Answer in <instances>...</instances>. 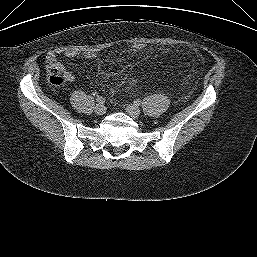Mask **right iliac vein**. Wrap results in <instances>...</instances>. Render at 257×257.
<instances>
[{"instance_id":"63e3f726","label":"right iliac vein","mask_w":257,"mask_h":257,"mask_svg":"<svg viewBox=\"0 0 257 257\" xmlns=\"http://www.w3.org/2000/svg\"><path fill=\"white\" fill-rule=\"evenodd\" d=\"M94 112L97 114V115H103L105 114L106 112V108L103 104H97L94 108Z\"/></svg>"}]
</instances>
